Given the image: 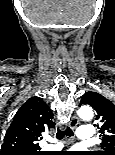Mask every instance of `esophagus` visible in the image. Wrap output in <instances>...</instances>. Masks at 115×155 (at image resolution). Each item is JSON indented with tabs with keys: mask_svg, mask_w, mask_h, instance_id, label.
<instances>
[{
	"mask_svg": "<svg viewBox=\"0 0 115 155\" xmlns=\"http://www.w3.org/2000/svg\"><path fill=\"white\" fill-rule=\"evenodd\" d=\"M79 124V120L76 116H73L72 119L69 122V126L71 129H75L77 125Z\"/></svg>",
	"mask_w": 115,
	"mask_h": 155,
	"instance_id": "1",
	"label": "esophagus"
}]
</instances>
